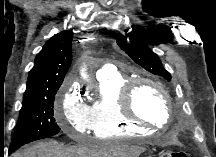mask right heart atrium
<instances>
[{
    "instance_id": "d8ad5b80",
    "label": "right heart atrium",
    "mask_w": 216,
    "mask_h": 157,
    "mask_svg": "<svg viewBox=\"0 0 216 157\" xmlns=\"http://www.w3.org/2000/svg\"><path fill=\"white\" fill-rule=\"evenodd\" d=\"M61 108L57 115V123L69 136L85 134L91 129V115L81 97L79 89L66 81L61 88Z\"/></svg>"
}]
</instances>
